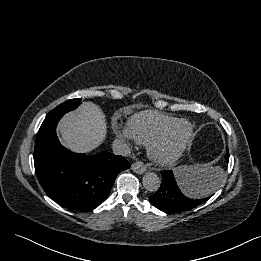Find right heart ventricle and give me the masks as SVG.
I'll use <instances>...</instances> for the list:
<instances>
[{"label": "right heart ventricle", "mask_w": 261, "mask_h": 261, "mask_svg": "<svg viewBox=\"0 0 261 261\" xmlns=\"http://www.w3.org/2000/svg\"><path fill=\"white\" fill-rule=\"evenodd\" d=\"M177 120L167 114L147 110L131 116L127 128L136 142L146 145Z\"/></svg>", "instance_id": "e07e8e85"}]
</instances>
